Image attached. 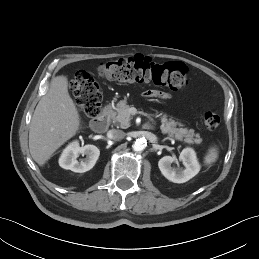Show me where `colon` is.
Here are the masks:
<instances>
[{
	"label": "colon",
	"instance_id": "5ec220e1",
	"mask_svg": "<svg viewBox=\"0 0 259 259\" xmlns=\"http://www.w3.org/2000/svg\"><path fill=\"white\" fill-rule=\"evenodd\" d=\"M99 75L119 83H152L154 85L179 90L187 85L188 69L181 62L160 63L149 57L137 55L103 63ZM77 106L86 118L99 114L102 94L94 77L85 70H78L70 81ZM204 126L215 130L220 124V116L214 110L203 114Z\"/></svg>",
	"mask_w": 259,
	"mask_h": 259
}]
</instances>
